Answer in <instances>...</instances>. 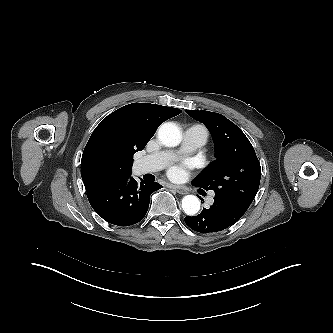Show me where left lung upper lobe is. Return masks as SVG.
Masks as SVG:
<instances>
[{"instance_id": "5c2ea615", "label": "left lung upper lobe", "mask_w": 333, "mask_h": 333, "mask_svg": "<svg viewBox=\"0 0 333 333\" xmlns=\"http://www.w3.org/2000/svg\"><path fill=\"white\" fill-rule=\"evenodd\" d=\"M185 112L208 128L217 158L192 183L249 207L259 189L261 167L248 138L221 114L192 110Z\"/></svg>"}]
</instances>
